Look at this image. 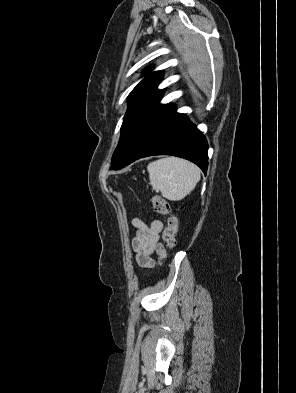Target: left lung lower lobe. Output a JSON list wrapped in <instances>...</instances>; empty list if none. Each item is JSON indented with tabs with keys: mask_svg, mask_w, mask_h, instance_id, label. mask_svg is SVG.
<instances>
[{
	"mask_svg": "<svg viewBox=\"0 0 296 393\" xmlns=\"http://www.w3.org/2000/svg\"><path fill=\"white\" fill-rule=\"evenodd\" d=\"M153 155H172L197 164L204 173L208 165V144L197 127L170 104L148 126L124 166ZM123 166V167H124Z\"/></svg>",
	"mask_w": 296,
	"mask_h": 393,
	"instance_id": "obj_1",
	"label": "left lung lower lobe"
}]
</instances>
